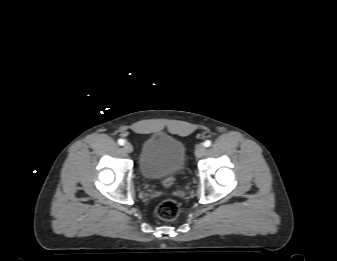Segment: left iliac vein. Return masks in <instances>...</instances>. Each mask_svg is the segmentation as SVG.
I'll use <instances>...</instances> for the list:
<instances>
[{
	"label": "left iliac vein",
	"mask_w": 337,
	"mask_h": 261,
	"mask_svg": "<svg viewBox=\"0 0 337 261\" xmlns=\"http://www.w3.org/2000/svg\"><path fill=\"white\" fill-rule=\"evenodd\" d=\"M205 152H206V148L204 145L202 144L197 145L195 149V155L197 158L202 157L205 154Z\"/></svg>",
	"instance_id": "4c4485c4"
}]
</instances>
